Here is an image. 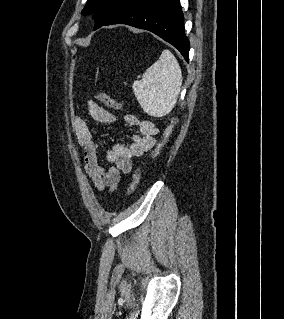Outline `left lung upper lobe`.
Listing matches in <instances>:
<instances>
[{"mask_svg":"<svg viewBox=\"0 0 284 319\" xmlns=\"http://www.w3.org/2000/svg\"><path fill=\"white\" fill-rule=\"evenodd\" d=\"M124 0H88L83 15L94 14V30L102 27L119 9Z\"/></svg>","mask_w":284,"mask_h":319,"instance_id":"5c2ea615","label":"left lung upper lobe"}]
</instances>
